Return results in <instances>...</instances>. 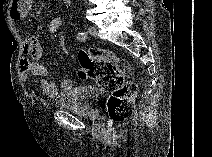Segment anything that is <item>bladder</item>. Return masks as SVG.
<instances>
[{
	"label": "bladder",
	"instance_id": "obj_1",
	"mask_svg": "<svg viewBox=\"0 0 212 157\" xmlns=\"http://www.w3.org/2000/svg\"><path fill=\"white\" fill-rule=\"evenodd\" d=\"M104 92L95 86H78L63 94L56 107L73 110L89 120H97L100 116L98 104L104 98Z\"/></svg>",
	"mask_w": 212,
	"mask_h": 157
}]
</instances>
